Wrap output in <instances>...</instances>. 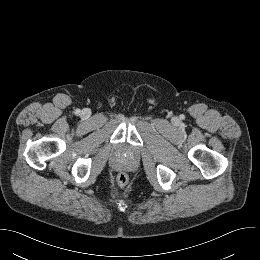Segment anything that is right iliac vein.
<instances>
[{
  "mask_svg": "<svg viewBox=\"0 0 260 260\" xmlns=\"http://www.w3.org/2000/svg\"><path fill=\"white\" fill-rule=\"evenodd\" d=\"M81 116H82L83 118H88V117L90 116L89 110L84 109V110L81 112Z\"/></svg>",
  "mask_w": 260,
  "mask_h": 260,
  "instance_id": "63e3f726",
  "label": "right iliac vein"
}]
</instances>
